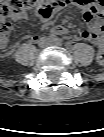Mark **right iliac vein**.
I'll return each mask as SVG.
<instances>
[{"label":"right iliac vein","instance_id":"right-iliac-vein-1","mask_svg":"<svg viewBox=\"0 0 104 137\" xmlns=\"http://www.w3.org/2000/svg\"><path fill=\"white\" fill-rule=\"evenodd\" d=\"M49 45V43L47 41H43L41 44H40V47L42 48H45Z\"/></svg>","mask_w":104,"mask_h":137}]
</instances>
